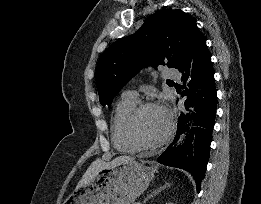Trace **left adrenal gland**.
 I'll return each mask as SVG.
<instances>
[{
	"instance_id": "1",
	"label": "left adrenal gland",
	"mask_w": 261,
	"mask_h": 204,
	"mask_svg": "<svg viewBox=\"0 0 261 204\" xmlns=\"http://www.w3.org/2000/svg\"><path fill=\"white\" fill-rule=\"evenodd\" d=\"M167 187H169V183H166L165 185H163V186L157 188L156 190H153V191L151 192V194L148 195L147 198L145 199L144 204H145L149 199H151L152 197H154L155 195H157L158 193H160L162 190L166 189Z\"/></svg>"
}]
</instances>
